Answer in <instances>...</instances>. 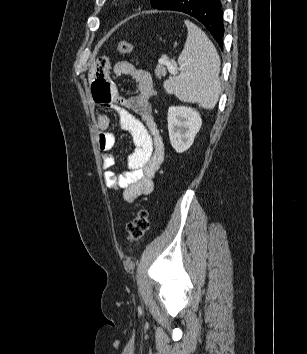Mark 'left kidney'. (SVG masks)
Masks as SVG:
<instances>
[{
	"instance_id": "left-kidney-1",
	"label": "left kidney",
	"mask_w": 307,
	"mask_h": 354,
	"mask_svg": "<svg viewBox=\"0 0 307 354\" xmlns=\"http://www.w3.org/2000/svg\"><path fill=\"white\" fill-rule=\"evenodd\" d=\"M168 131L172 147L177 153L188 150L199 132L202 119L200 114L187 106H171L168 109Z\"/></svg>"
}]
</instances>
